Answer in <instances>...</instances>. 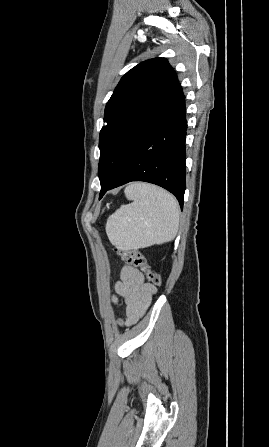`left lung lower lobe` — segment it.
I'll list each match as a JSON object with an SVG mask.
<instances>
[{"label": "left lung lower lobe", "instance_id": "left-lung-lower-lobe-1", "mask_svg": "<svg viewBox=\"0 0 269 447\" xmlns=\"http://www.w3.org/2000/svg\"><path fill=\"white\" fill-rule=\"evenodd\" d=\"M186 130L185 99L178 83L166 113L145 133L117 177L109 185L101 187L99 197L128 182L145 181L174 194L182 209Z\"/></svg>", "mask_w": 269, "mask_h": 447}]
</instances>
